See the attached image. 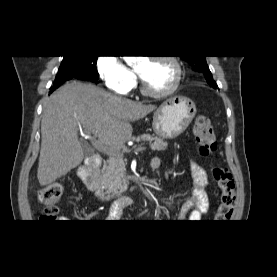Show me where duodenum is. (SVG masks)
<instances>
[{"mask_svg": "<svg viewBox=\"0 0 277 277\" xmlns=\"http://www.w3.org/2000/svg\"><path fill=\"white\" fill-rule=\"evenodd\" d=\"M101 165V160L98 156L93 155L87 158L83 165L80 166L78 175L86 189L90 192L97 194L98 198L103 200L106 198V193L103 190L98 177L96 175L99 167ZM127 204L130 203L128 198L123 199Z\"/></svg>", "mask_w": 277, "mask_h": 277, "instance_id": "410a0bca", "label": "duodenum"}]
</instances>
